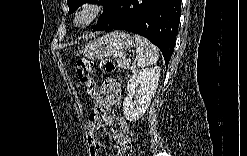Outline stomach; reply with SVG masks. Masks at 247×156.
<instances>
[{
	"instance_id": "1",
	"label": "stomach",
	"mask_w": 247,
	"mask_h": 156,
	"mask_svg": "<svg viewBox=\"0 0 247 156\" xmlns=\"http://www.w3.org/2000/svg\"><path fill=\"white\" fill-rule=\"evenodd\" d=\"M133 45L132 37L123 31H113L94 39L84 49V55L90 60L104 59L122 52Z\"/></svg>"
}]
</instances>
